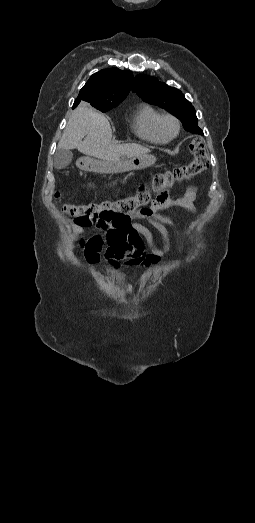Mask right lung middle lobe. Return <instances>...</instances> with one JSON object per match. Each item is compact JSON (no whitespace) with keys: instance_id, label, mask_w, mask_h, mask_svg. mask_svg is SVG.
<instances>
[{"instance_id":"obj_1","label":"right lung middle lobe","mask_w":255,"mask_h":523,"mask_svg":"<svg viewBox=\"0 0 255 523\" xmlns=\"http://www.w3.org/2000/svg\"><path fill=\"white\" fill-rule=\"evenodd\" d=\"M119 103L120 102L99 103V104H94L92 106L95 107L96 109L100 110L101 112H107L110 109H112V108L116 107L117 105H119Z\"/></svg>"}]
</instances>
